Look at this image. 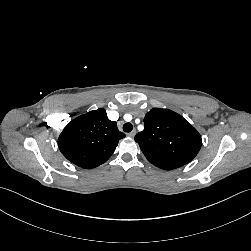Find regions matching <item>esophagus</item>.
Here are the masks:
<instances>
[{
  "mask_svg": "<svg viewBox=\"0 0 251 251\" xmlns=\"http://www.w3.org/2000/svg\"><path fill=\"white\" fill-rule=\"evenodd\" d=\"M135 134H136V130L133 129L130 133H128V136H129V137H134Z\"/></svg>",
  "mask_w": 251,
  "mask_h": 251,
  "instance_id": "obj_1",
  "label": "esophagus"
}]
</instances>
